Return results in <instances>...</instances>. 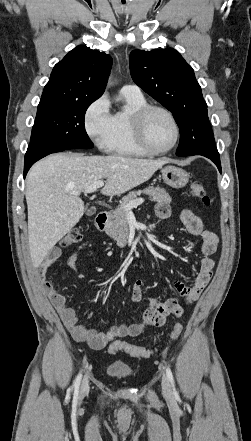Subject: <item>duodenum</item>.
Listing matches in <instances>:
<instances>
[{"instance_id": "obj_1", "label": "duodenum", "mask_w": 251, "mask_h": 441, "mask_svg": "<svg viewBox=\"0 0 251 441\" xmlns=\"http://www.w3.org/2000/svg\"><path fill=\"white\" fill-rule=\"evenodd\" d=\"M110 219V212L109 211H101L97 214L95 219L96 227L100 231H105L108 221Z\"/></svg>"}]
</instances>
